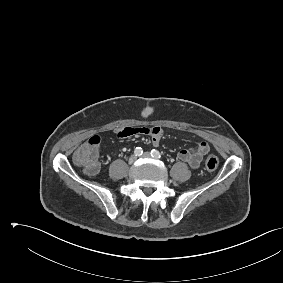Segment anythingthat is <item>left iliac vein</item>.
Instances as JSON below:
<instances>
[{
  "instance_id": "obj_1",
  "label": "left iliac vein",
  "mask_w": 283,
  "mask_h": 283,
  "mask_svg": "<svg viewBox=\"0 0 283 283\" xmlns=\"http://www.w3.org/2000/svg\"><path fill=\"white\" fill-rule=\"evenodd\" d=\"M151 157V154L149 152H145L143 155H142V158H150Z\"/></svg>"
}]
</instances>
